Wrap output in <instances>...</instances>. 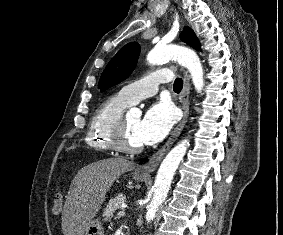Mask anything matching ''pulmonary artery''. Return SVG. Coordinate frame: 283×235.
<instances>
[{
  "label": "pulmonary artery",
  "mask_w": 283,
  "mask_h": 235,
  "mask_svg": "<svg viewBox=\"0 0 283 235\" xmlns=\"http://www.w3.org/2000/svg\"><path fill=\"white\" fill-rule=\"evenodd\" d=\"M169 69H161L124 86L120 94L130 104H135L140 100L153 96L157 93L160 84L171 81Z\"/></svg>",
  "instance_id": "e3ab8cb5"
}]
</instances>
